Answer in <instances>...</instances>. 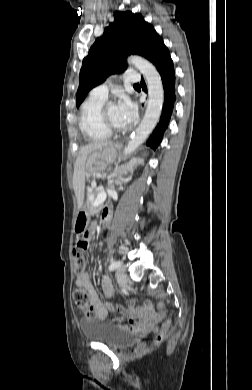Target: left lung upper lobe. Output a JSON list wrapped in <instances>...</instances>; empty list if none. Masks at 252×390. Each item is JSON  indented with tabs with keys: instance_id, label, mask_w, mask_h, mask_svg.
Returning a JSON list of instances; mask_svg holds the SVG:
<instances>
[{
	"instance_id": "5c2ea615",
	"label": "left lung upper lobe",
	"mask_w": 252,
	"mask_h": 390,
	"mask_svg": "<svg viewBox=\"0 0 252 390\" xmlns=\"http://www.w3.org/2000/svg\"><path fill=\"white\" fill-rule=\"evenodd\" d=\"M162 40L151 24L142 15L130 11L114 13V22L97 38L88 55L83 59L76 105L87 93L101 84L109 75L127 68L128 55H140L147 60Z\"/></svg>"
}]
</instances>
